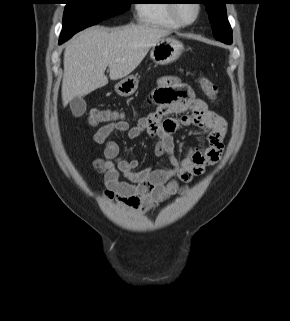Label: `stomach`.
<instances>
[{"label": "stomach", "mask_w": 290, "mask_h": 321, "mask_svg": "<svg viewBox=\"0 0 290 321\" xmlns=\"http://www.w3.org/2000/svg\"><path fill=\"white\" fill-rule=\"evenodd\" d=\"M184 51L183 44L174 37H162L151 49L150 57L158 65H167L176 61ZM138 88V79L130 75L115 85L118 95L128 97Z\"/></svg>", "instance_id": "stomach-1"}]
</instances>
